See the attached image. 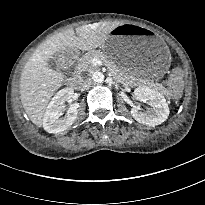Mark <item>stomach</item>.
Instances as JSON below:
<instances>
[{
  "label": "stomach",
  "instance_id": "0dacf381",
  "mask_svg": "<svg viewBox=\"0 0 205 205\" xmlns=\"http://www.w3.org/2000/svg\"><path fill=\"white\" fill-rule=\"evenodd\" d=\"M100 48L121 71L140 83L158 81L171 64L165 41L151 29L137 24L116 26Z\"/></svg>",
  "mask_w": 205,
  "mask_h": 205
}]
</instances>
